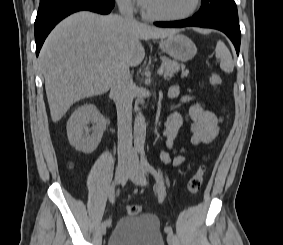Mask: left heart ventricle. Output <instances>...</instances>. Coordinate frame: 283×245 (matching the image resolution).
I'll return each instance as SVG.
<instances>
[{"instance_id": "left-heart-ventricle-1", "label": "left heart ventricle", "mask_w": 283, "mask_h": 245, "mask_svg": "<svg viewBox=\"0 0 283 245\" xmlns=\"http://www.w3.org/2000/svg\"><path fill=\"white\" fill-rule=\"evenodd\" d=\"M193 2L194 0H146L143 5L153 14L176 16L189 10Z\"/></svg>"}]
</instances>
